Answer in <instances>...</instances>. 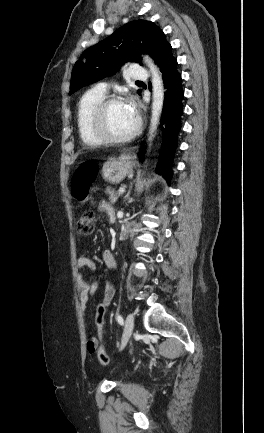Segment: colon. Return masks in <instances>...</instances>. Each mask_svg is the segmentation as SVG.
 Listing matches in <instances>:
<instances>
[{"label":"colon","instance_id":"colon-1","mask_svg":"<svg viewBox=\"0 0 264 433\" xmlns=\"http://www.w3.org/2000/svg\"><path fill=\"white\" fill-rule=\"evenodd\" d=\"M98 172L97 164L92 161H87L80 164L74 171L71 180L72 193L76 199L79 201L87 200L89 196L90 187L96 179ZM95 227V215L91 211L84 212L78 221L77 231L80 235L87 236L90 235ZM108 304L105 300H102L97 308L95 313V324L97 328L98 338L101 342L104 324H105V315L107 312ZM97 356L99 362L102 365H107L109 363V357L104 351L103 346L100 344L97 350Z\"/></svg>","mask_w":264,"mask_h":433}]
</instances>
